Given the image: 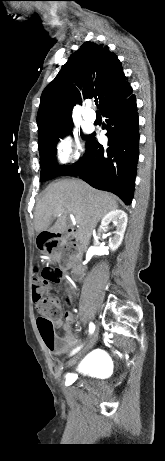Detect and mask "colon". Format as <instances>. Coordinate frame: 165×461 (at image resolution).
<instances>
[{
	"label": "colon",
	"mask_w": 165,
	"mask_h": 461,
	"mask_svg": "<svg viewBox=\"0 0 165 461\" xmlns=\"http://www.w3.org/2000/svg\"><path fill=\"white\" fill-rule=\"evenodd\" d=\"M55 246L54 241L44 238L43 248L50 250ZM62 282V271L54 266H46L36 271L32 284V296L39 313L37 325L46 347L54 349L57 337L54 329V320L61 317V305L57 297L48 295L52 284Z\"/></svg>",
	"instance_id": "obj_1"
}]
</instances>
